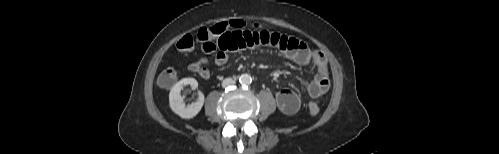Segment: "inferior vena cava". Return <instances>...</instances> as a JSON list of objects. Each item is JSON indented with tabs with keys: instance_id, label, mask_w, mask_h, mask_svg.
Segmentation results:
<instances>
[{
	"instance_id": "obj_1",
	"label": "inferior vena cava",
	"mask_w": 499,
	"mask_h": 154,
	"mask_svg": "<svg viewBox=\"0 0 499 154\" xmlns=\"http://www.w3.org/2000/svg\"><path fill=\"white\" fill-rule=\"evenodd\" d=\"M233 84H235V80H233L232 78H226L222 82L223 87H227V86L233 85Z\"/></svg>"
}]
</instances>
